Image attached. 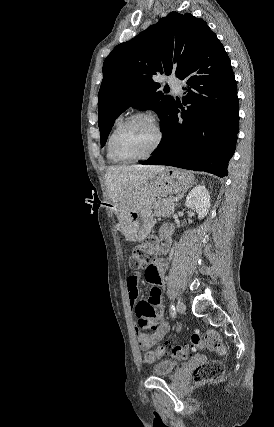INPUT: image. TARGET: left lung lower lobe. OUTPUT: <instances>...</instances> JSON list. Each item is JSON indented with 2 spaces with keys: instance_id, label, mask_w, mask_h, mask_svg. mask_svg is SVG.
<instances>
[{
  "instance_id": "1",
  "label": "left lung lower lobe",
  "mask_w": 274,
  "mask_h": 427,
  "mask_svg": "<svg viewBox=\"0 0 274 427\" xmlns=\"http://www.w3.org/2000/svg\"><path fill=\"white\" fill-rule=\"evenodd\" d=\"M179 79L185 82L186 108L173 101L166 112L162 142L141 164L227 176L237 140L239 106L230 60L216 36L205 43Z\"/></svg>"
}]
</instances>
